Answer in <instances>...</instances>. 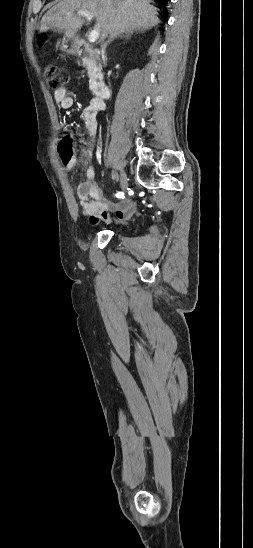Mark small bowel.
<instances>
[{"mask_svg": "<svg viewBox=\"0 0 253 548\" xmlns=\"http://www.w3.org/2000/svg\"><path fill=\"white\" fill-rule=\"evenodd\" d=\"M54 99L62 109H69L73 106L74 100L62 88L55 91ZM105 109L103 100L93 98L90 106L84 112V125L87 132V142L77 159L65 161L62 159L66 169L70 170L78 164H86L92 156L95 141L98 134V115ZM60 143V142H59ZM59 148V145H58ZM59 151V150H58ZM87 180L80 183L77 187V195L80 199V205L83 213L91 218V223L95 224L100 219L108 224L121 222L129 219L137 209V203L132 199H125L119 203H112L107 200L101 188L96 182V170L92 166L86 168ZM114 211L113 219L108 212Z\"/></svg>", "mask_w": 253, "mask_h": 548, "instance_id": "obj_1", "label": "small bowel"}]
</instances>
